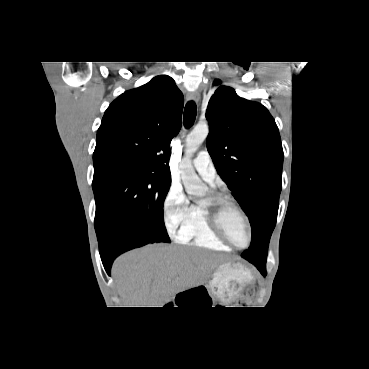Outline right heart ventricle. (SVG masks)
<instances>
[{"instance_id": "right-heart-ventricle-1", "label": "right heart ventricle", "mask_w": 369, "mask_h": 369, "mask_svg": "<svg viewBox=\"0 0 369 369\" xmlns=\"http://www.w3.org/2000/svg\"><path fill=\"white\" fill-rule=\"evenodd\" d=\"M178 239L208 249L231 251V248L211 230L202 204L192 205L190 217L179 233Z\"/></svg>"}]
</instances>
